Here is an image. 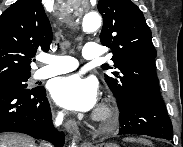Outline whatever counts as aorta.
<instances>
[{"label":"aorta","instance_id":"1","mask_svg":"<svg viewBox=\"0 0 183 147\" xmlns=\"http://www.w3.org/2000/svg\"><path fill=\"white\" fill-rule=\"evenodd\" d=\"M101 16L96 12L87 13L82 19V28L85 32L91 33L98 30L101 26ZM75 147V143H72Z\"/></svg>","mask_w":183,"mask_h":147}]
</instances>
